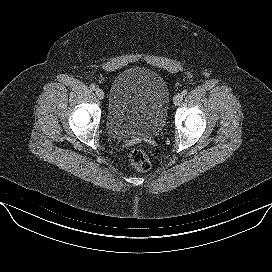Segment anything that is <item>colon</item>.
<instances>
[{
  "label": "colon",
  "mask_w": 272,
  "mask_h": 272,
  "mask_svg": "<svg viewBox=\"0 0 272 272\" xmlns=\"http://www.w3.org/2000/svg\"><path fill=\"white\" fill-rule=\"evenodd\" d=\"M131 165L140 172H146L151 168V160L147 153L141 149H133L129 153Z\"/></svg>",
  "instance_id": "5ec220e1"
}]
</instances>
